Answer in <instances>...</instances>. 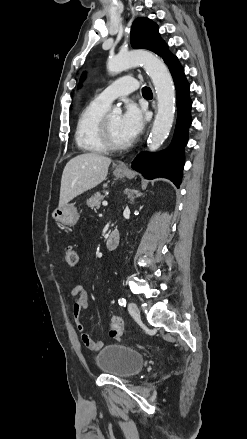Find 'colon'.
I'll list each match as a JSON object with an SVG mask.
<instances>
[{"label": "colon", "mask_w": 247, "mask_h": 439, "mask_svg": "<svg viewBox=\"0 0 247 439\" xmlns=\"http://www.w3.org/2000/svg\"><path fill=\"white\" fill-rule=\"evenodd\" d=\"M65 260L68 265L76 266L78 263V255L73 248H68L65 252ZM123 332V322L118 316H114L111 321L110 336L120 338Z\"/></svg>", "instance_id": "1"}]
</instances>
